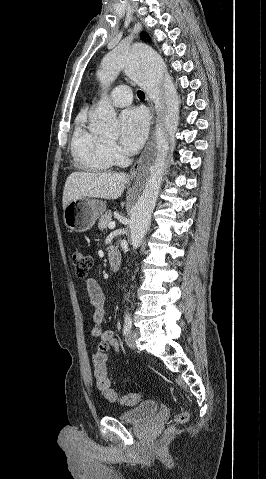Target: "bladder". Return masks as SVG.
Returning <instances> with one entry per match:
<instances>
[{
	"label": "bladder",
	"mask_w": 266,
	"mask_h": 479,
	"mask_svg": "<svg viewBox=\"0 0 266 479\" xmlns=\"http://www.w3.org/2000/svg\"><path fill=\"white\" fill-rule=\"evenodd\" d=\"M159 411V405L154 401H144L133 408L121 412L117 418L125 423L142 424L153 418Z\"/></svg>",
	"instance_id": "31cf9c89"
}]
</instances>
